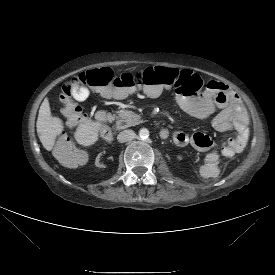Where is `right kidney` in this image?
Masks as SVG:
<instances>
[{"instance_id": "right-kidney-1", "label": "right kidney", "mask_w": 275, "mask_h": 275, "mask_svg": "<svg viewBox=\"0 0 275 275\" xmlns=\"http://www.w3.org/2000/svg\"><path fill=\"white\" fill-rule=\"evenodd\" d=\"M95 164L100 168V169H105L108 168L111 165V162L106 159L104 153H97L95 157Z\"/></svg>"}]
</instances>
